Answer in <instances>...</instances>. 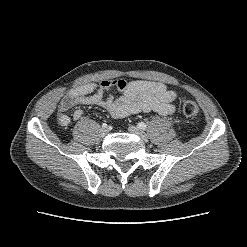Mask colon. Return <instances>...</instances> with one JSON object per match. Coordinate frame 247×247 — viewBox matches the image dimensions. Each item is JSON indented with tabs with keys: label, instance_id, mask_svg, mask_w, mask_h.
<instances>
[{
	"label": "colon",
	"instance_id": "5ec220e1",
	"mask_svg": "<svg viewBox=\"0 0 247 247\" xmlns=\"http://www.w3.org/2000/svg\"><path fill=\"white\" fill-rule=\"evenodd\" d=\"M181 108L183 114L188 118H195L199 113V108L197 104L189 99L181 100Z\"/></svg>",
	"mask_w": 247,
	"mask_h": 247
}]
</instances>
